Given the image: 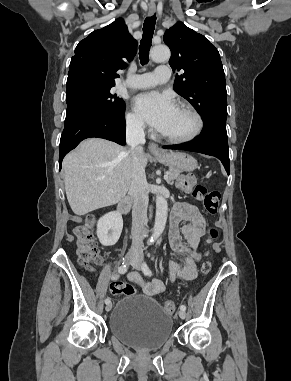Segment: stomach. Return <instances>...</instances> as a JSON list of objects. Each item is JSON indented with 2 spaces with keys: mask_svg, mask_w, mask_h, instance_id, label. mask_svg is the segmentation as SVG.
<instances>
[{
  "mask_svg": "<svg viewBox=\"0 0 291 381\" xmlns=\"http://www.w3.org/2000/svg\"><path fill=\"white\" fill-rule=\"evenodd\" d=\"M155 158L162 164L178 171H193L198 163L194 157L184 152H165L155 155Z\"/></svg>",
  "mask_w": 291,
  "mask_h": 381,
  "instance_id": "obj_1",
  "label": "stomach"
}]
</instances>
